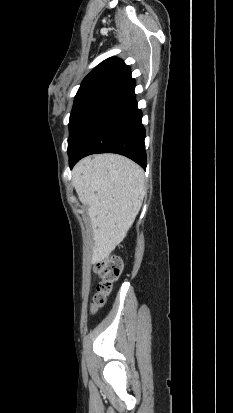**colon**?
<instances>
[{
    "instance_id": "obj_1",
    "label": "colon",
    "mask_w": 233,
    "mask_h": 413,
    "mask_svg": "<svg viewBox=\"0 0 233 413\" xmlns=\"http://www.w3.org/2000/svg\"><path fill=\"white\" fill-rule=\"evenodd\" d=\"M122 271V262L112 256L100 261L95 266V272L101 278L97 285V292L93 299V310L104 305L107 296L111 293L113 284L118 280Z\"/></svg>"
}]
</instances>
